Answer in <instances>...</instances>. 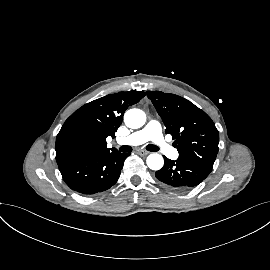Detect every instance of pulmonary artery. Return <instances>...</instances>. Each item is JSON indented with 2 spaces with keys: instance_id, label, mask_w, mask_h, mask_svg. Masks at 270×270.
Returning <instances> with one entry per match:
<instances>
[{
  "instance_id": "1",
  "label": "pulmonary artery",
  "mask_w": 270,
  "mask_h": 270,
  "mask_svg": "<svg viewBox=\"0 0 270 270\" xmlns=\"http://www.w3.org/2000/svg\"><path fill=\"white\" fill-rule=\"evenodd\" d=\"M147 141H152L159 150L170 158H177L178 152L163 137L161 125L156 120L149 121L144 128L131 135L119 138L118 143L139 145Z\"/></svg>"
}]
</instances>
